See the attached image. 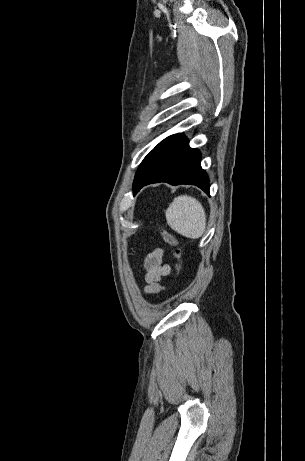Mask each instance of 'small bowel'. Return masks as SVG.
Returning a JSON list of instances; mask_svg holds the SVG:
<instances>
[{
  "instance_id": "c3829d8e",
  "label": "small bowel",
  "mask_w": 305,
  "mask_h": 461,
  "mask_svg": "<svg viewBox=\"0 0 305 461\" xmlns=\"http://www.w3.org/2000/svg\"><path fill=\"white\" fill-rule=\"evenodd\" d=\"M164 249L156 248L147 253L144 260L146 285L144 292L147 295L160 293L164 287L160 283L161 279L167 276L171 267L163 262Z\"/></svg>"
}]
</instances>
